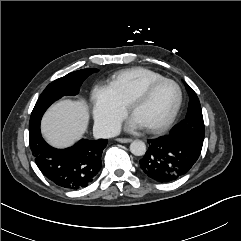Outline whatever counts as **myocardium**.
Returning a JSON list of instances; mask_svg holds the SVG:
<instances>
[{
    "label": "myocardium",
    "mask_w": 241,
    "mask_h": 241,
    "mask_svg": "<svg viewBox=\"0 0 241 241\" xmlns=\"http://www.w3.org/2000/svg\"><path fill=\"white\" fill-rule=\"evenodd\" d=\"M164 83H171L177 88L178 100H177V104L175 106L174 111L172 112L171 116L169 117V119L166 122H164L161 125H157V126H145V128L148 131L153 132V133H163V132L167 131L169 128L172 127V125L176 121V119L179 115V112L181 110L182 103H183V92H182L180 85L176 81H174L172 79H168V78H163L160 80L153 81V82L149 83L139 94H137L129 105L130 113H131V115H133L135 109L140 104L145 102L158 86H160Z\"/></svg>",
    "instance_id": "1"
}]
</instances>
